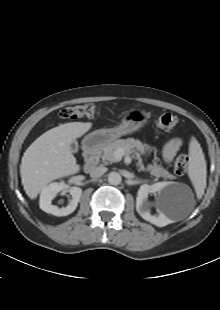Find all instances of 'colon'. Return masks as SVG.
Masks as SVG:
<instances>
[{"mask_svg": "<svg viewBox=\"0 0 220 310\" xmlns=\"http://www.w3.org/2000/svg\"><path fill=\"white\" fill-rule=\"evenodd\" d=\"M97 113V106L94 103L87 102L63 108L60 111V116L64 119L75 120L80 118H92L95 117ZM156 125L164 131H174L178 125V118L172 113H163L156 118ZM187 167V155H179L174 164L175 173L182 175L186 172Z\"/></svg>", "mask_w": 220, "mask_h": 310, "instance_id": "5ec220e1", "label": "colon"}]
</instances>
